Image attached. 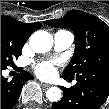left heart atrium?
I'll use <instances>...</instances> for the list:
<instances>
[{"mask_svg":"<svg viewBox=\"0 0 109 109\" xmlns=\"http://www.w3.org/2000/svg\"><path fill=\"white\" fill-rule=\"evenodd\" d=\"M59 61H44L38 63L34 69L37 75L43 79H51L57 74L56 66L59 65Z\"/></svg>","mask_w":109,"mask_h":109,"instance_id":"obj_1","label":"left heart atrium"}]
</instances>
